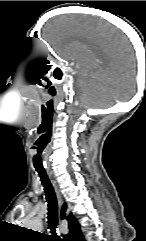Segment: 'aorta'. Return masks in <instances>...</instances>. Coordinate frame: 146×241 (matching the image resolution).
Segmentation results:
<instances>
[{
  "label": "aorta",
  "mask_w": 146,
  "mask_h": 241,
  "mask_svg": "<svg viewBox=\"0 0 146 241\" xmlns=\"http://www.w3.org/2000/svg\"><path fill=\"white\" fill-rule=\"evenodd\" d=\"M28 227L29 229H33V230H39L41 228V222L38 219H32L29 223H28Z\"/></svg>",
  "instance_id": "obj_1"
}]
</instances>
